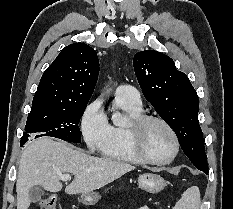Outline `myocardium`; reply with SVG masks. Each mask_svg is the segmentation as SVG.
Here are the masks:
<instances>
[{"mask_svg":"<svg viewBox=\"0 0 233 209\" xmlns=\"http://www.w3.org/2000/svg\"><path fill=\"white\" fill-rule=\"evenodd\" d=\"M151 122H156L162 125L172 137L174 150L172 155L166 160H162V161L154 160L150 158L144 151L143 148L144 131L147 125ZM128 133H129V140L132 151L144 163L157 165V166H165L170 164L177 157L179 153L180 143L178 136L175 130L173 129V127L161 117L150 114H141L129 123Z\"/></svg>","mask_w":233,"mask_h":209,"instance_id":"f54148a6","label":"myocardium"}]
</instances>
